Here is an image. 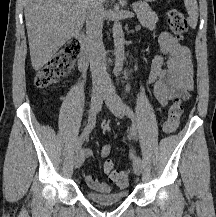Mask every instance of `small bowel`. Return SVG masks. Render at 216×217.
Listing matches in <instances>:
<instances>
[{
	"label": "small bowel",
	"mask_w": 216,
	"mask_h": 217,
	"mask_svg": "<svg viewBox=\"0 0 216 217\" xmlns=\"http://www.w3.org/2000/svg\"><path fill=\"white\" fill-rule=\"evenodd\" d=\"M160 52L154 57L148 76V84L153 86V91L160 105L165 108L175 99L184 101L190 98L194 89V68L190 49L179 43L170 33L163 32L159 36ZM111 151V146L106 144L100 151V157L106 161ZM88 157H93L90 149H85ZM106 174L109 173L104 168ZM88 186L98 191L109 190L108 183L100 182L91 174L85 175Z\"/></svg>",
	"instance_id": "obj_1"
}]
</instances>
